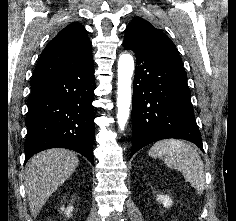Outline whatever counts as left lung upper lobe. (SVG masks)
I'll use <instances>...</instances> for the list:
<instances>
[{
    "instance_id": "5c2ea615",
    "label": "left lung upper lobe",
    "mask_w": 236,
    "mask_h": 221,
    "mask_svg": "<svg viewBox=\"0 0 236 221\" xmlns=\"http://www.w3.org/2000/svg\"><path fill=\"white\" fill-rule=\"evenodd\" d=\"M125 38L133 39L149 50L182 63L174 43L168 36L162 30L155 28L151 23L140 17H134L128 24Z\"/></svg>"
}]
</instances>
